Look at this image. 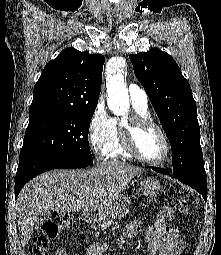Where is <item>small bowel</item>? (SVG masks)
Wrapping results in <instances>:
<instances>
[{
  "label": "small bowel",
  "mask_w": 221,
  "mask_h": 255,
  "mask_svg": "<svg viewBox=\"0 0 221 255\" xmlns=\"http://www.w3.org/2000/svg\"><path fill=\"white\" fill-rule=\"evenodd\" d=\"M140 229V221H133L124 227L123 236L136 237ZM144 242L148 248V255H182L186 247L179 231L169 227L163 232L154 229L149 230L144 236ZM108 249L109 245L107 243L97 242L86 249L85 255H105Z\"/></svg>",
  "instance_id": "small-bowel-1"
}]
</instances>
